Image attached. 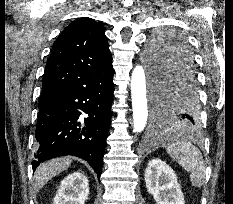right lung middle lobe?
<instances>
[{
  "instance_id": "right-lung-middle-lobe-1",
  "label": "right lung middle lobe",
  "mask_w": 233,
  "mask_h": 204,
  "mask_svg": "<svg viewBox=\"0 0 233 204\" xmlns=\"http://www.w3.org/2000/svg\"><path fill=\"white\" fill-rule=\"evenodd\" d=\"M56 119V115L39 108L38 122L36 125L35 136L40 135Z\"/></svg>"
}]
</instances>
